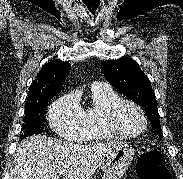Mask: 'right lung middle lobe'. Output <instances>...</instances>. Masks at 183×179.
Instances as JSON below:
<instances>
[{"label":"right lung middle lobe","instance_id":"obj_1","mask_svg":"<svg viewBox=\"0 0 183 179\" xmlns=\"http://www.w3.org/2000/svg\"><path fill=\"white\" fill-rule=\"evenodd\" d=\"M48 99H44L39 103H32L25 106V117L23 128L21 130V140L27 136L42 133L41 126L45 123L46 108Z\"/></svg>","mask_w":183,"mask_h":179}]
</instances>
